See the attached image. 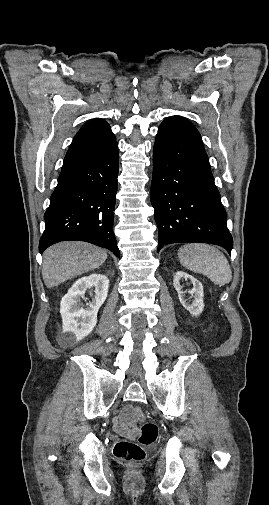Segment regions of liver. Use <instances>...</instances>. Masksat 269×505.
Masks as SVG:
<instances>
[{
    "label": "liver",
    "instance_id": "1",
    "mask_svg": "<svg viewBox=\"0 0 269 505\" xmlns=\"http://www.w3.org/2000/svg\"><path fill=\"white\" fill-rule=\"evenodd\" d=\"M106 259V251L90 243L60 242L44 252L42 277L45 285L52 288L100 267Z\"/></svg>",
    "mask_w": 269,
    "mask_h": 505
}]
</instances>
